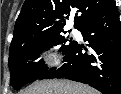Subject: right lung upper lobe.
<instances>
[{"label":"right lung upper lobe","mask_w":121,"mask_h":94,"mask_svg":"<svg viewBox=\"0 0 121 94\" xmlns=\"http://www.w3.org/2000/svg\"><path fill=\"white\" fill-rule=\"evenodd\" d=\"M114 0H25L16 20L11 44L33 31L63 30L70 12L77 10L74 27L83 20L107 9Z\"/></svg>","instance_id":"1"}]
</instances>
